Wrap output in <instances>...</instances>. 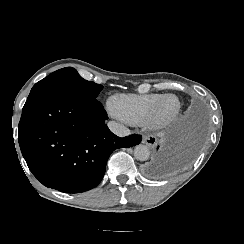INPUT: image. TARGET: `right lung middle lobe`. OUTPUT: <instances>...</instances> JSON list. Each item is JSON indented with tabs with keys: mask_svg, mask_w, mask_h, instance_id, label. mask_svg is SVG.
Listing matches in <instances>:
<instances>
[{
	"mask_svg": "<svg viewBox=\"0 0 244 244\" xmlns=\"http://www.w3.org/2000/svg\"><path fill=\"white\" fill-rule=\"evenodd\" d=\"M102 85L83 79L72 67L57 70L38 83L31 89L30 94L37 92L66 93L81 99H96Z\"/></svg>",
	"mask_w": 244,
	"mask_h": 244,
	"instance_id": "right-lung-middle-lobe-1",
	"label": "right lung middle lobe"
}]
</instances>
